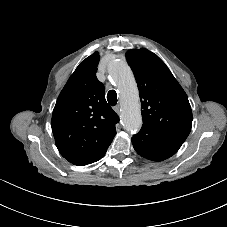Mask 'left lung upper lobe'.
I'll list each match as a JSON object with an SVG mask.
<instances>
[{
	"instance_id": "1",
	"label": "left lung upper lobe",
	"mask_w": 227,
	"mask_h": 227,
	"mask_svg": "<svg viewBox=\"0 0 227 227\" xmlns=\"http://www.w3.org/2000/svg\"><path fill=\"white\" fill-rule=\"evenodd\" d=\"M141 99L144 128L184 143L192 126L188 97L165 63L141 48L126 53Z\"/></svg>"
}]
</instances>
